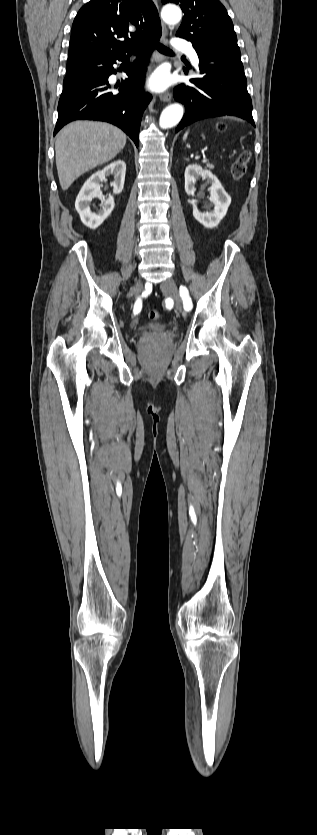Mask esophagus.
<instances>
[{
	"instance_id": "esophagus-1",
	"label": "esophagus",
	"mask_w": 317,
	"mask_h": 835,
	"mask_svg": "<svg viewBox=\"0 0 317 835\" xmlns=\"http://www.w3.org/2000/svg\"><path fill=\"white\" fill-rule=\"evenodd\" d=\"M153 2L155 4L157 10H159L157 0H153ZM161 27H162V39H165L166 36H167V28L163 23H161ZM171 99H172V94L170 92H166V93H163V94L160 95V100L163 101V102H170Z\"/></svg>"
}]
</instances>
